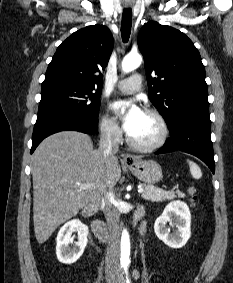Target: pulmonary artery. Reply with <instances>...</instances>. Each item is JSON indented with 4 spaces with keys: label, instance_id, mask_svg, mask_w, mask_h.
<instances>
[{
    "label": "pulmonary artery",
    "instance_id": "e3ab8cb5",
    "mask_svg": "<svg viewBox=\"0 0 233 283\" xmlns=\"http://www.w3.org/2000/svg\"><path fill=\"white\" fill-rule=\"evenodd\" d=\"M117 88L125 94L136 93L141 88V76L139 74H134L131 77L124 79L117 84Z\"/></svg>",
    "mask_w": 233,
    "mask_h": 283
}]
</instances>
